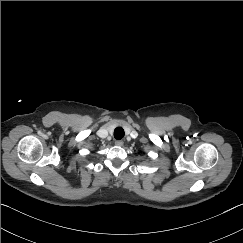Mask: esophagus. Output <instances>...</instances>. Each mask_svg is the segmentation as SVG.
I'll list each match as a JSON object with an SVG mask.
<instances>
[{"label":"esophagus","mask_w":243,"mask_h":243,"mask_svg":"<svg viewBox=\"0 0 243 243\" xmlns=\"http://www.w3.org/2000/svg\"><path fill=\"white\" fill-rule=\"evenodd\" d=\"M115 145L121 147V146H123V141L122 140H116Z\"/></svg>","instance_id":"obj_1"}]
</instances>
